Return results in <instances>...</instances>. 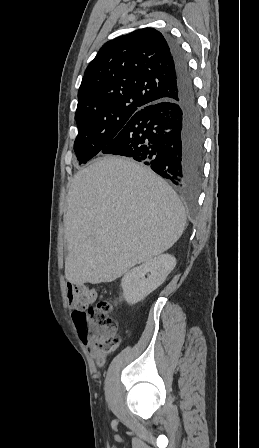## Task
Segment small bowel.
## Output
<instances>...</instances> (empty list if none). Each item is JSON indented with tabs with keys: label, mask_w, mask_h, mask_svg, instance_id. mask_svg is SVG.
<instances>
[{
	"label": "small bowel",
	"mask_w": 259,
	"mask_h": 448,
	"mask_svg": "<svg viewBox=\"0 0 259 448\" xmlns=\"http://www.w3.org/2000/svg\"><path fill=\"white\" fill-rule=\"evenodd\" d=\"M67 297L71 307H75L71 285L68 286ZM88 351L90 355L96 360L99 366L103 365V363L105 362V355L102 351H100L92 344L88 345Z\"/></svg>",
	"instance_id": "small-bowel-1"
}]
</instances>
